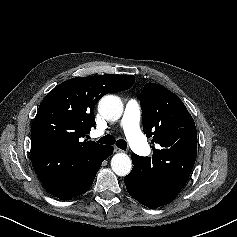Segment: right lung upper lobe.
I'll list each match as a JSON object with an SVG mask.
<instances>
[{
  "mask_svg": "<svg viewBox=\"0 0 237 237\" xmlns=\"http://www.w3.org/2000/svg\"><path fill=\"white\" fill-rule=\"evenodd\" d=\"M133 75H97L64 81L42 100L31 127V160L48 191H72L83 160L106 145L83 140L95 127L94 107L106 93L127 90Z\"/></svg>",
  "mask_w": 237,
  "mask_h": 237,
  "instance_id": "right-lung-upper-lobe-1",
  "label": "right lung upper lobe"
}]
</instances>
